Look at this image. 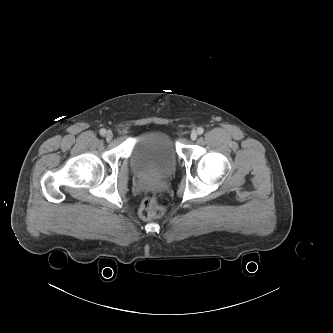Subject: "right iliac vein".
Listing matches in <instances>:
<instances>
[{"label":"right iliac vein","instance_id":"63e3f726","mask_svg":"<svg viewBox=\"0 0 333 333\" xmlns=\"http://www.w3.org/2000/svg\"><path fill=\"white\" fill-rule=\"evenodd\" d=\"M113 138V133L111 131H107L106 133V140L111 141Z\"/></svg>","mask_w":333,"mask_h":333}]
</instances>
